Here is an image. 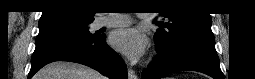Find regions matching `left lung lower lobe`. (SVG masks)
<instances>
[{
	"label": "left lung lower lobe",
	"mask_w": 255,
	"mask_h": 79,
	"mask_svg": "<svg viewBox=\"0 0 255 79\" xmlns=\"http://www.w3.org/2000/svg\"><path fill=\"white\" fill-rule=\"evenodd\" d=\"M158 55L147 67L143 79H160L177 71H199L215 79H224L215 50L213 35H189L166 49L157 48Z\"/></svg>",
	"instance_id": "obj_1"
}]
</instances>
